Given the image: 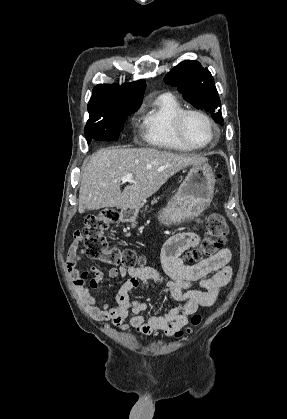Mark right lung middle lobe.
I'll return each mask as SVG.
<instances>
[{"label":"right lung middle lobe","instance_id":"1","mask_svg":"<svg viewBox=\"0 0 287 419\" xmlns=\"http://www.w3.org/2000/svg\"><path fill=\"white\" fill-rule=\"evenodd\" d=\"M139 107L125 106L89 114L84 130L87 142L90 143L92 139L98 141L117 140L127 116L133 114Z\"/></svg>","mask_w":287,"mask_h":419}]
</instances>
